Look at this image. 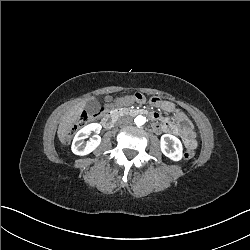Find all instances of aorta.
<instances>
[{
	"label": "aorta",
	"mask_w": 250,
	"mask_h": 250,
	"mask_svg": "<svg viewBox=\"0 0 250 250\" xmlns=\"http://www.w3.org/2000/svg\"><path fill=\"white\" fill-rule=\"evenodd\" d=\"M134 121L136 125H143L146 122V118L144 116L139 115L135 118Z\"/></svg>",
	"instance_id": "aorta-1"
}]
</instances>
